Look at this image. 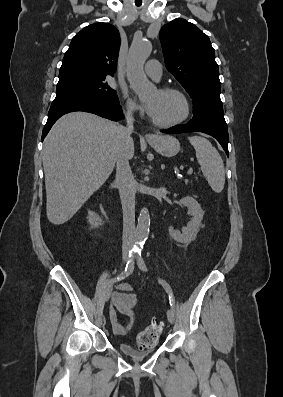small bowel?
Masks as SVG:
<instances>
[{
    "label": "small bowel",
    "instance_id": "c3829d8e",
    "mask_svg": "<svg viewBox=\"0 0 283 397\" xmlns=\"http://www.w3.org/2000/svg\"><path fill=\"white\" fill-rule=\"evenodd\" d=\"M139 304L140 301L133 293V287L129 283H121L117 286L109 311L112 329L116 335H125L130 330L135 320V310ZM116 310L129 317V322L126 325L118 322Z\"/></svg>",
    "mask_w": 283,
    "mask_h": 397
}]
</instances>
